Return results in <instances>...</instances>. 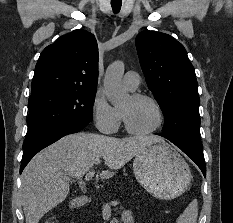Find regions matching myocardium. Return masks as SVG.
I'll use <instances>...</instances> for the list:
<instances>
[{
    "instance_id": "f54148a6",
    "label": "myocardium",
    "mask_w": 233,
    "mask_h": 223,
    "mask_svg": "<svg viewBox=\"0 0 233 223\" xmlns=\"http://www.w3.org/2000/svg\"><path fill=\"white\" fill-rule=\"evenodd\" d=\"M130 97L134 100H146V101L151 102L155 106V108L158 112L159 123L154 129H152L150 131L137 132V131H134L129 126L125 115L121 112L120 113L121 119H122V122H123V125H124L126 132L132 136H135V137H147V136L158 133L163 128V126L165 124V113H164V110H163L161 104L154 97H152L150 95H146V94L135 93V94H132Z\"/></svg>"
}]
</instances>
